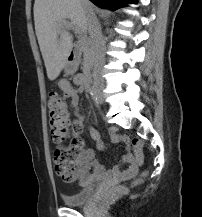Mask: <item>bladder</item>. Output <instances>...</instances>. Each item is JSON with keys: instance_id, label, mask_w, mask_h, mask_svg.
Segmentation results:
<instances>
[{"instance_id": "obj_1", "label": "bladder", "mask_w": 202, "mask_h": 217, "mask_svg": "<svg viewBox=\"0 0 202 217\" xmlns=\"http://www.w3.org/2000/svg\"><path fill=\"white\" fill-rule=\"evenodd\" d=\"M95 177L88 175L80 182L81 188L74 194L64 195L62 197L67 206H80L85 204L93 194V185Z\"/></svg>"}]
</instances>
